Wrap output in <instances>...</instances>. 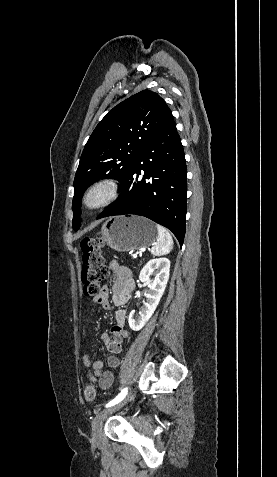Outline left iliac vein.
Segmentation results:
<instances>
[{
	"label": "left iliac vein",
	"mask_w": 277,
	"mask_h": 477,
	"mask_svg": "<svg viewBox=\"0 0 277 477\" xmlns=\"http://www.w3.org/2000/svg\"><path fill=\"white\" fill-rule=\"evenodd\" d=\"M132 397V393H130L129 395H127V397L123 398L120 402H118L117 404L113 405V406H110L104 410H102L101 412H99L96 417L94 418L93 422H92V440L94 443L96 444H99L101 442V439H102V426H103V422L104 420L110 415L112 414L113 412H115L116 410L120 409L121 407H123L127 402L128 400Z\"/></svg>",
	"instance_id": "1"
}]
</instances>
